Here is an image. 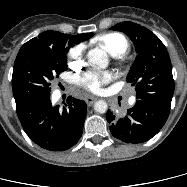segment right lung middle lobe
I'll use <instances>...</instances> for the list:
<instances>
[{
  "label": "right lung middle lobe",
  "mask_w": 187,
  "mask_h": 187,
  "mask_svg": "<svg viewBox=\"0 0 187 187\" xmlns=\"http://www.w3.org/2000/svg\"><path fill=\"white\" fill-rule=\"evenodd\" d=\"M71 45L63 48L37 44L23 45L16 57L12 89L16 105L29 99L50 94V82L67 69Z\"/></svg>",
  "instance_id": "obj_1"
}]
</instances>
